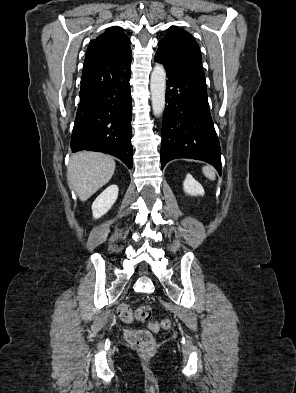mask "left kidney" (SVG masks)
Instances as JSON below:
<instances>
[{
  "mask_svg": "<svg viewBox=\"0 0 296 393\" xmlns=\"http://www.w3.org/2000/svg\"><path fill=\"white\" fill-rule=\"evenodd\" d=\"M183 188L184 192L191 196H203L205 193L202 185L198 181H196L190 174L186 175L185 181L183 183Z\"/></svg>",
  "mask_w": 296,
  "mask_h": 393,
  "instance_id": "5707ae66",
  "label": "left kidney"
}]
</instances>
